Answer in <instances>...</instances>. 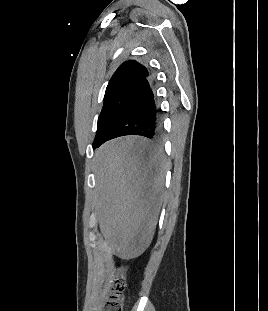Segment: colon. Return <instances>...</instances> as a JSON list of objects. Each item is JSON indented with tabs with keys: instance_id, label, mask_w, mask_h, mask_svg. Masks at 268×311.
Listing matches in <instances>:
<instances>
[{
	"instance_id": "5ec220e1",
	"label": "colon",
	"mask_w": 268,
	"mask_h": 311,
	"mask_svg": "<svg viewBox=\"0 0 268 311\" xmlns=\"http://www.w3.org/2000/svg\"><path fill=\"white\" fill-rule=\"evenodd\" d=\"M124 290L125 282L123 277L119 275L108 286L106 302L102 311H125L127 302Z\"/></svg>"
}]
</instances>
